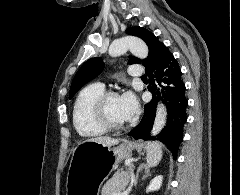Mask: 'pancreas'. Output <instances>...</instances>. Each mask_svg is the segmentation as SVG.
<instances>
[{"mask_svg": "<svg viewBox=\"0 0 240 195\" xmlns=\"http://www.w3.org/2000/svg\"><path fill=\"white\" fill-rule=\"evenodd\" d=\"M133 163H130L129 169H133ZM123 167H121V171H116L113 177H110L106 183H104L102 187V195H113V193H120L121 189H124L125 185H127L129 181V171H122Z\"/></svg>", "mask_w": 240, "mask_h": 195, "instance_id": "cf45deb5", "label": "pancreas"}]
</instances>
